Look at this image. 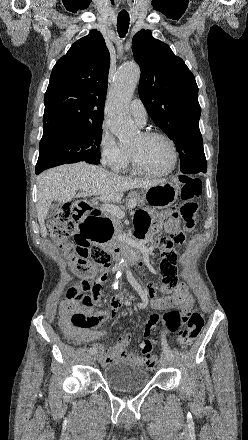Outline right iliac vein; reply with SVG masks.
I'll return each instance as SVG.
<instances>
[{
	"mask_svg": "<svg viewBox=\"0 0 248 440\" xmlns=\"http://www.w3.org/2000/svg\"><path fill=\"white\" fill-rule=\"evenodd\" d=\"M96 360V356L94 354L89 355V363L94 364Z\"/></svg>",
	"mask_w": 248,
	"mask_h": 440,
	"instance_id": "right-iliac-vein-1",
	"label": "right iliac vein"
}]
</instances>
